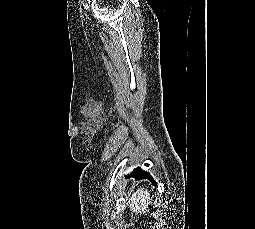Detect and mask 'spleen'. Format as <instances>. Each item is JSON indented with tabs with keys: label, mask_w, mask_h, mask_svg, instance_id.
I'll return each instance as SVG.
<instances>
[{
	"label": "spleen",
	"mask_w": 255,
	"mask_h": 229,
	"mask_svg": "<svg viewBox=\"0 0 255 229\" xmlns=\"http://www.w3.org/2000/svg\"><path fill=\"white\" fill-rule=\"evenodd\" d=\"M129 208L135 214H146L148 212V206L150 204V193L144 188L138 189L131 196Z\"/></svg>",
	"instance_id": "3e777b00"
}]
</instances>
